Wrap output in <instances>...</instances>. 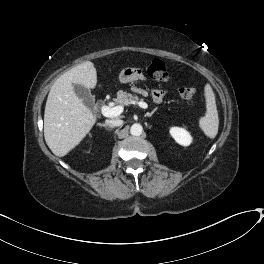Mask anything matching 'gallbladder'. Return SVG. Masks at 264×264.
I'll return each instance as SVG.
<instances>
[{
    "label": "gallbladder",
    "mask_w": 264,
    "mask_h": 264,
    "mask_svg": "<svg viewBox=\"0 0 264 264\" xmlns=\"http://www.w3.org/2000/svg\"><path fill=\"white\" fill-rule=\"evenodd\" d=\"M73 87H74V91H75L76 95L82 100V102L88 108L91 109L95 103V99L91 95L90 90L87 89L86 87L82 86V85H79V84H73Z\"/></svg>",
    "instance_id": "bac80fb5"
}]
</instances>
